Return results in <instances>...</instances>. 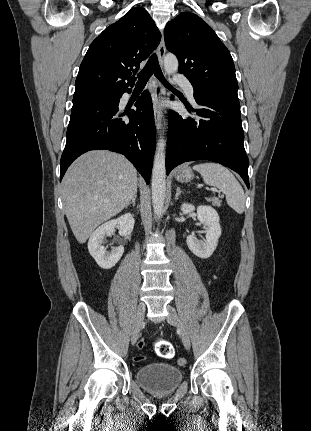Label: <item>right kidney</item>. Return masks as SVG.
<instances>
[{"mask_svg":"<svg viewBox=\"0 0 311 431\" xmlns=\"http://www.w3.org/2000/svg\"><path fill=\"white\" fill-rule=\"evenodd\" d=\"M134 217L132 214H124L117 219H110L106 223L99 225L93 233H91L88 241V249L90 255L94 257L100 267L110 269L113 267L124 253V247H113L112 251H107L105 245H102L105 235L113 233L115 225H118L120 235H130L134 227Z\"/></svg>","mask_w":311,"mask_h":431,"instance_id":"right-kidney-1","label":"right kidney"}]
</instances>
